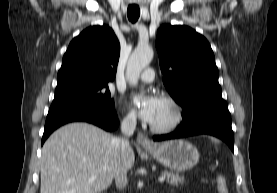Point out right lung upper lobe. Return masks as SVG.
I'll return each instance as SVG.
<instances>
[{
  "mask_svg": "<svg viewBox=\"0 0 277 193\" xmlns=\"http://www.w3.org/2000/svg\"><path fill=\"white\" fill-rule=\"evenodd\" d=\"M120 44L106 25L92 26L75 37L63 56L55 92L107 85L113 81Z\"/></svg>",
  "mask_w": 277,
  "mask_h": 193,
  "instance_id": "1",
  "label": "right lung upper lobe"
}]
</instances>
